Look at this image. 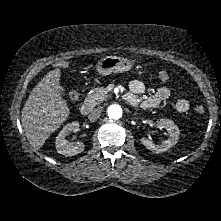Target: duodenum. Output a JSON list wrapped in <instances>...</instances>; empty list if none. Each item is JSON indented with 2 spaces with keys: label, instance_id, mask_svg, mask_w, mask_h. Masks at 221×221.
I'll return each instance as SVG.
<instances>
[{
  "label": "duodenum",
  "instance_id": "410a0bca",
  "mask_svg": "<svg viewBox=\"0 0 221 221\" xmlns=\"http://www.w3.org/2000/svg\"><path fill=\"white\" fill-rule=\"evenodd\" d=\"M123 99L125 102L129 103V104H134L135 103V99L132 95L130 94H125L123 96ZM91 110V105L89 103H84L81 107H80V112L82 115H87L89 114Z\"/></svg>",
  "mask_w": 221,
  "mask_h": 221
}]
</instances>
